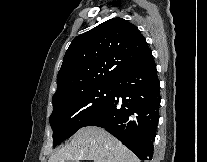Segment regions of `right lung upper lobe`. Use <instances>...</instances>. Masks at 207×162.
<instances>
[{
  "label": "right lung upper lobe",
  "instance_id": "right-lung-upper-lobe-1",
  "mask_svg": "<svg viewBox=\"0 0 207 162\" xmlns=\"http://www.w3.org/2000/svg\"><path fill=\"white\" fill-rule=\"evenodd\" d=\"M152 58L138 28L119 17L77 36L67 49L53 96L113 84L126 70Z\"/></svg>",
  "mask_w": 207,
  "mask_h": 162
}]
</instances>
